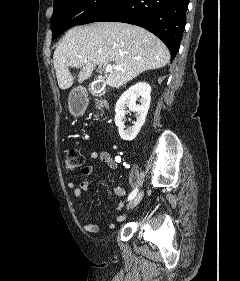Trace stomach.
Wrapping results in <instances>:
<instances>
[{
    "instance_id": "stomach-1",
    "label": "stomach",
    "mask_w": 240,
    "mask_h": 281,
    "mask_svg": "<svg viewBox=\"0 0 240 281\" xmlns=\"http://www.w3.org/2000/svg\"><path fill=\"white\" fill-rule=\"evenodd\" d=\"M69 110L74 115L79 112L78 105L74 102L73 97H72V93H71L70 98H69Z\"/></svg>"
}]
</instances>
